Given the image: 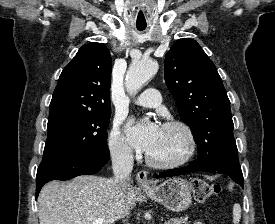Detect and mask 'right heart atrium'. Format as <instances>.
Segmentation results:
<instances>
[{"label": "right heart atrium", "instance_id": "1", "mask_svg": "<svg viewBox=\"0 0 275 224\" xmlns=\"http://www.w3.org/2000/svg\"><path fill=\"white\" fill-rule=\"evenodd\" d=\"M108 146L111 154L116 158L127 160L132 157L131 149L121 132L119 122H115L113 125L108 139Z\"/></svg>", "mask_w": 275, "mask_h": 224}]
</instances>
